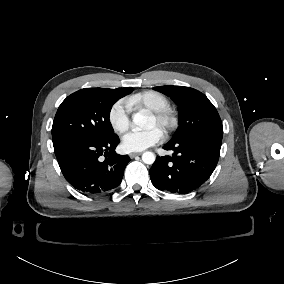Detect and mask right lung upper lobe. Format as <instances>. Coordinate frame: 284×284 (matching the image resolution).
<instances>
[{
    "instance_id": "right-lung-upper-lobe-1",
    "label": "right lung upper lobe",
    "mask_w": 284,
    "mask_h": 284,
    "mask_svg": "<svg viewBox=\"0 0 284 284\" xmlns=\"http://www.w3.org/2000/svg\"><path fill=\"white\" fill-rule=\"evenodd\" d=\"M114 91H116L120 96L122 95L125 96L129 93H131L133 91L132 87H126V88H117V89H113Z\"/></svg>"
}]
</instances>
